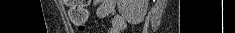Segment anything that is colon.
Instances as JSON below:
<instances>
[{
  "label": "colon",
  "mask_w": 235,
  "mask_h": 33,
  "mask_svg": "<svg viewBox=\"0 0 235 33\" xmlns=\"http://www.w3.org/2000/svg\"><path fill=\"white\" fill-rule=\"evenodd\" d=\"M65 4L69 7L68 16L70 21L83 30L88 20L87 5L88 0H64Z\"/></svg>",
  "instance_id": "1"
}]
</instances>
